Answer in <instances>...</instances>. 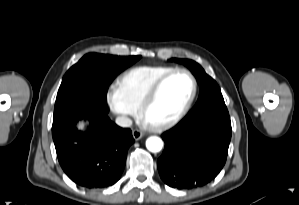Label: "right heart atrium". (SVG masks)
<instances>
[{
  "label": "right heart atrium",
  "instance_id": "obj_1",
  "mask_svg": "<svg viewBox=\"0 0 299 205\" xmlns=\"http://www.w3.org/2000/svg\"><path fill=\"white\" fill-rule=\"evenodd\" d=\"M106 103L108 108L116 115L123 118L132 117L135 115L136 110L131 108L123 100L119 90L116 86L111 87L106 93Z\"/></svg>",
  "mask_w": 299,
  "mask_h": 205
}]
</instances>
